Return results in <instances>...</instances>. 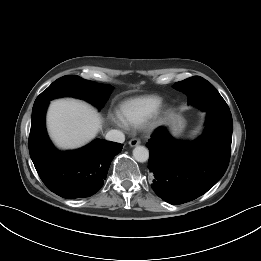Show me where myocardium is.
I'll return each mask as SVG.
<instances>
[{"mask_svg": "<svg viewBox=\"0 0 261 261\" xmlns=\"http://www.w3.org/2000/svg\"><path fill=\"white\" fill-rule=\"evenodd\" d=\"M169 112V107L166 105H160L155 112L146 120V126L148 128H154L159 124L162 117Z\"/></svg>", "mask_w": 261, "mask_h": 261, "instance_id": "f54148a6", "label": "myocardium"}]
</instances>
